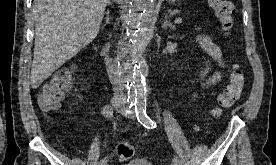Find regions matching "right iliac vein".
I'll return each mask as SVG.
<instances>
[{
	"mask_svg": "<svg viewBox=\"0 0 276 165\" xmlns=\"http://www.w3.org/2000/svg\"><path fill=\"white\" fill-rule=\"evenodd\" d=\"M112 106H113L114 108L118 109V108H120V103L117 102V101H115V102L112 103Z\"/></svg>",
	"mask_w": 276,
	"mask_h": 165,
	"instance_id": "63e3f726",
	"label": "right iliac vein"
}]
</instances>
